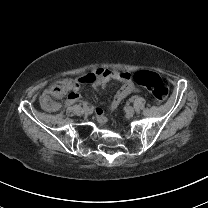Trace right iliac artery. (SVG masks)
I'll return each instance as SVG.
<instances>
[{
    "label": "right iliac artery",
    "mask_w": 208,
    "mask_h": 208,
    "mask_svg": "<svg viewBox=\"0 0 208 208\" xmlns=\"http://www.w3.org/2000/svg\"><path fill=\"white\" fill-rule=\"evenodd\" d=\"M83 108H87L88 107V102H83Z\"/></svg>",
    "instance_id": "obj_1"
}]
</instances>
